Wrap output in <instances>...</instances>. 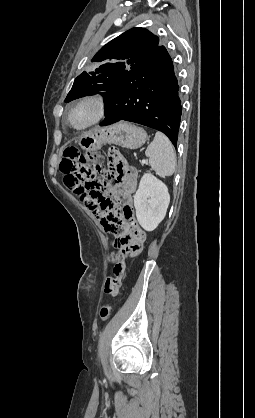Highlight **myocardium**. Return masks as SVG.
I'll use <instances>...</instances> for the list:
<instances>
[{
  "label": "myocardium",
  "mask_w": 255,
  "mask_h": 418,
  "mask_svg": "<svg viewBox=\"0 0 255 418\" xmlns=\"http://www.w3.org/2000/svg\"><path fill=\"white\" fill-rule=\"evenodd\" d=\"M85 104H91L94 108V113L85 124L81 126H74L71 122V115L76 108ZM106 112L107 103L105 98L99 94H88L79 98L70 106L66 114V123L70 128L76 131L87 130L101 123L106 116Z\"/></svg>",
  "instance_id": "1"
}]
</instances>
